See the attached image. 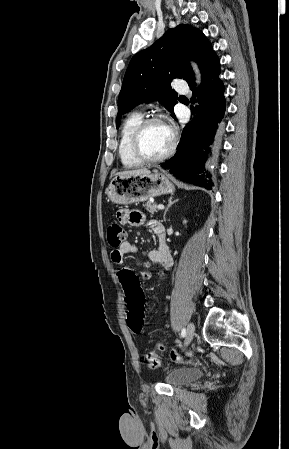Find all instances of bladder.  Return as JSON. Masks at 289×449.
Masks as SVG:
<instances>
[{"mask_svg":"<svg viewBox=\"0 0 289 449\" xmlns=\"http://www.w3.org/2000/svg\"><path fill=\"white\" fill-rule=\"evenodd\" d=\"M203 370L199 368H178L166 376V382L174 387L183 386L202 377Z\"/></svg>","mask_w":289,"mask_h":449,"instance_id":"bladder-1","label":"bladder"}]
</instances>
